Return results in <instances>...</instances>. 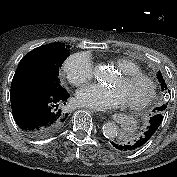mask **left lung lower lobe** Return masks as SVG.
I'll list each match as a JSON object with an SVG mask.
<instances>
[{
  "label": "left lung lower lobe",
  "mask_w": 177,
  "mask_h": 177,
  "mask_svg": "<svg viewBox=\"0 0 177 177\" xmlns=\"http://www.w3.org/2000/svg\"><path fill=\"white\" fill-rule=\"evenodd\" d=\"M161 107H157L153 110L154 115L150 118L149 125L147 126L146 131L140 138L136 140L130 141H117L111 142L114 148L123 151V152H130L142 147L144 144L148 142V140L154 135L158 127L160 126L163 116L162 111L160 110Z\"/></svg>",
  "instance_id": "1"
}]
</instances>
